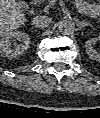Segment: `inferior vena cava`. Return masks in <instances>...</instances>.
<instances>
[{
	"mask_svg": "<svg viewBox=\"0 0 100 118\" xmlns=\"http://www.w3.org/2000/svg\"><path fill=\"white\" fill-rule=\"evenodd\" d=\"M51 19L48 16H36L32 19V25L35 28L43 29L49 26Z\"/></svg>",
	"mask_w": 100,
	"mask_h": 118,
	"instance_id": "obj_1",
	"label": "inferior vena cava"
}]
</instances>
